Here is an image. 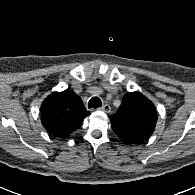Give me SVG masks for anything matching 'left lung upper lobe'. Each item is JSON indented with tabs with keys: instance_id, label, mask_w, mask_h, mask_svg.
I'll return each instance as SVG.
<instances>
[{
	"instance_id": "obj_1",
	"label": "left lung upper lobe",
	"mask_w": 195,
	"mask_h": 195,
	"mask_svg": "<svg viewBox=\"0 0 195 195\" xmlns=\"http://www.w3.org/2000/svg\"><path fill=\"white\" fill-rule=\"evenodd\" d=\"M113 131L125 144H138L149 138L157 122L153 103L139 92L127 93L118 112L110 116Z\"/></svg>"
}]
</instances>
